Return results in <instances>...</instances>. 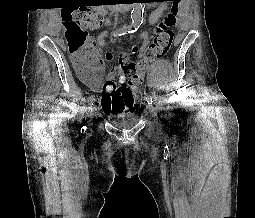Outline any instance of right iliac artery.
Listing matches in <instances>:
<instances>
[{
    "label": "right iliac artery",
    "mask_w": 255,
    "mask_h": 218,
    "mask_svg": "<svg viewBox=\"0 0 255 218\" xmlns=\"http://www.w3.org/2000/svg\"><path fill=\"white\" fill-rule=\"evenodd\" d=\"M131 33V31L130 30H128V29H119V30H117L113 35H114V37H117V36H121V35H124V34H126V33ZM93 100H94V98L93 97H90L89 99H88V107L87 108H90V106L93 104ZM85 130H86V127H83Z\"/></svg>",
    "instance_id": "82829eb1"
}]
</instances>
